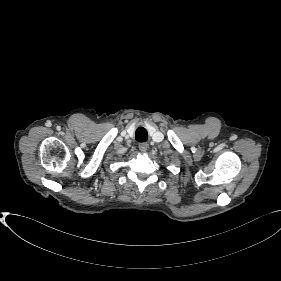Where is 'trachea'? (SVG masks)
I'll return each mask as SVG.
<instances>
[{"label":"trachea","mask_w":281,"mask_h":281,"mask_svg":"<svg viewBox=\"0 0 281 281\" xmlns=\"http://www.w3.org/2000/svg\"><path fill=\"white\" fill-rule=\"evenodd\" d=\"M135 139L138 142H145L148 140V132L144 127H138L135 132Z\"/></svg>","instance_id":"3493384b"}]
</instances>
